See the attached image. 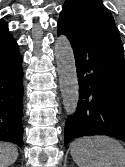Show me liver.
Segmentation results:
<instances>
[{
    "instance_id": "1",
    "label": "liver",
    "mask_w": 125,
    "mask_h": 167,
    "mask_svg": "<svg viewBox=\"0 0 125 167\" xmlns=\"http://www.w3.org/2000/svg\"><path fill=\"white\" fill-rule=\"evenodd\" d=\"M18 157L17 147L12 143L0 142V167L12 165Z\"/></svg>"
}]
</instances>
